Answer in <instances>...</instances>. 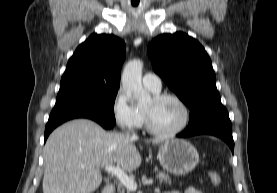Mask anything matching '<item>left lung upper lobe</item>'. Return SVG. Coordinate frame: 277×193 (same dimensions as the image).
<instances>
[{"label":"left lung upper lobe","instance_id":"left-lung-upper-lobe-1","mask_svg":"<svg viewBox=\"0 0 277 193\" xmlns=\"http://www.w3.org/2000/svg\"><path fill=\"white\" fill-rule=\"evenodd\" d=\"M154 71L189 107V124L223 109L211 60L194 38L183 32L162 34L148 45Z\"/></svg>","mask_w":277,"mask_h":193}]
</instances>
